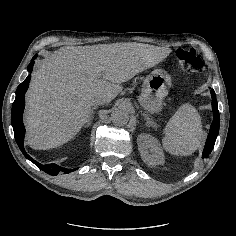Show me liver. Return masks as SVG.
Listing matches in <instances>:
<instances>
[{
    "label": "liver",
    "mask_w": 236,
    "mask_h": 236,
    "mask_svg": "<svg viewBox=\"0 0 236 236\" xmlns=\"http://www.w3.org/2000/svg\"><path fill=\"white\" fill-rule=\"evenodd\" d=\"M170 52L135 42L56 50L32 75L26 96L28 144L45 150L69 142L90 121L94 102L109 104L123 90L121 83L146 68L145 61Z\"/></svg>",
    "instance_id": "6515ba94"
}]
</instances>
